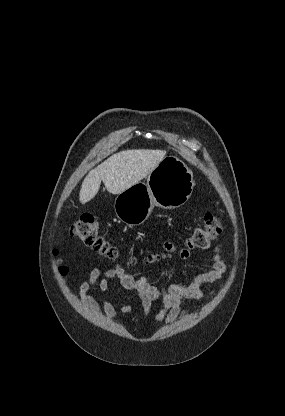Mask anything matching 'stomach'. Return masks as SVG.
I'll return each mask as SVG.
<instances>
[{"instance_id":"1","label":"stomach","mask_w":285,"mask_h":416,"mask_svg":"<svg viewBox=\"0 0 285 416\" xmlns=\"http://www.w3.org/2000/svg\"><path fill=\"white\" fill-rule=\"evenodd\" d=\"M195 186L193 174L184 162L175 156H166L147 176L145 182L134 184L118 194L114 202L117 218L139 226L149 218L153 208L175 210L189 200Z\"/></svg>"}]
</instances>
